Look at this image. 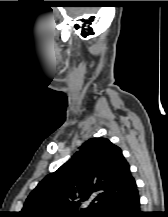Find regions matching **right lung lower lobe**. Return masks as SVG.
Wrapping results in <instances>:
<instances>
[{
	"instance_id": "1",
	"label": "right lung lower lobe",
	"mask_w": 168,
	"mask_h": 217,
	"mask_svg": "<svg viewBox=\"0 0 168 217\" xmlns=\"http://www.w3.org/2000/svg\"><path fill=\"white\" fill-rule=\"evenodd\" d=\"M137 188L129 195L107 203L94 217H144Z\"/></svg>"
}]
</instances>
